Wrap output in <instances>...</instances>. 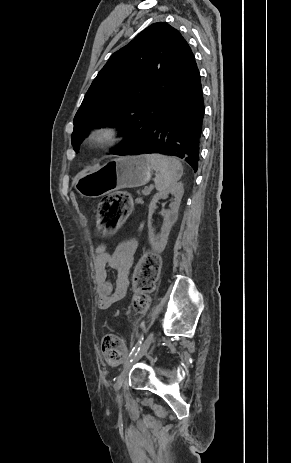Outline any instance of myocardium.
Listing matches in <instances>:
<instances>
[{
  "instance_id": "f54148a6",
  "label": "myocardium",
  "mask_w": 291,
  "mask_h": 463,
  "mask_svg": "<svg viewBox=\"0 0 291 463\" xmlns=\"http://www.w3.org/2000/svg\"><path fill=\"white\" fill-rule=\"evenodd\" d=\"M123 138V131L119 127L103 124L90 129L86 136V142L96 147H111L119 144Z\"/></svg>"
}]
</instances>
